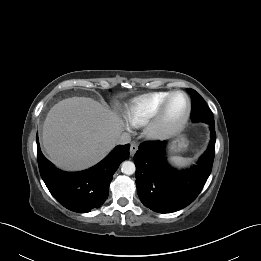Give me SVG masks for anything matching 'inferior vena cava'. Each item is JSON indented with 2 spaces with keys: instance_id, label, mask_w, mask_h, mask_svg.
Segmentation results:
<instances>
[{
  "instance_id": "inferior-vena-cava-1",
  "label": "inferior vena cava",
  "mask_w": 261,
  "mask_h": 261,
  "mask_svg": "<svg viewBox=\"0 0 261 261\" xmlns=\"http://www.w3.org/2000/svg\"><path fill=\"white\" fill-rule=\"evenodd\" d=\"M130 141H131V136H130V134L127 133V132H124V133H122V134L119 136V138H118V140H117V143H118V144H127V143H130Z\"/></svg>"
}]
</instances>
